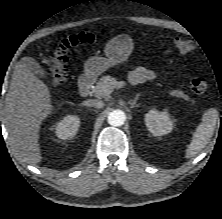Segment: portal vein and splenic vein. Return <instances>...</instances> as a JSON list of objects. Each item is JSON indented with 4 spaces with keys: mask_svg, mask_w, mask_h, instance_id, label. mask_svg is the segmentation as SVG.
<instances>
[{
    "mask_svg": "<svg viewBox=\"0 0 222 219\" xmlns=\"http://www.w3.org/2000/svg\"><path fill=\"white\" fill-rule=\"evenodd\" d=\"M123 87V82H114L112 86H110V89L114 88H122Z\"/></svg>",
    "mask_w": 222,
    "mask_h": 219,
    "instance_id": "portal-vein-and-splenic-vein-1",
    "label": "portal vein and splenic vein"
}]
</instances>
